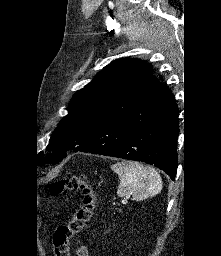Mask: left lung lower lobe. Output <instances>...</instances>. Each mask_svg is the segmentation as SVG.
I'll return each instance as SVG.
<instances>
[{
  "mask_svg": "<svg viewBox=\"0 0 221 256\" xmlns=\"http://www.w3.org/2000/svg\"><path fill=\"white\" fill-rule=\"evenodd\" d=\"M171 91L161 86L139 106L109 122L75 152L154 164L172 180L177 170L178 109Z\"/></svg>",
  "mask_w": 221,
  "mask_h": 256,
  "instance_id": "left-lung-lower-lobe-1",
  "label": "left lung lower lobe"
}]
</instances>
